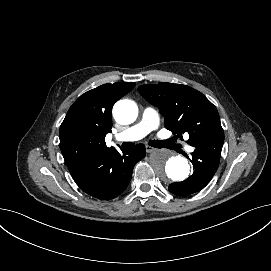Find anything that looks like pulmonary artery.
Wrapping results in <instances>:
<instances>
[{"instance_id":"1","label":"pulmonary artery","mask_w":271,"mask_h":271,"mask_svg":"<svg viewBox=\"0 0 271 271\" xmlns=\"http://www.w3.org/2000/svg\"><path fill=\"white\" fill-rule=\"evenodd\" d=\"M161 126V117L157 111L152 107H147L143 110L142 119L133 127L128 128L122 133L115 134L113 139L115 142H129L142 138L144 135H151L155 130ZM179 146L189 154L200 152V147H195L190 142L182 140Z\"/></svg>"}]
</instances>
